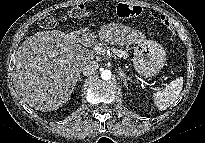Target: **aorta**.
<instances>
[{
    "label": "aorta",
    "mask_w": 205,
    "mask_h": 143,
    "mask_svg": "<svg viewBox=\"0 0 205 143\" xmlns=\"http://www.w3.org/2000/svg\"><path fill=\"white\" fill-rule=\"evenodd\" d=\"M111 76H112V74H111V71H110V70H103V71L101 72V78H102L103 80H110V79H111Z\"/></svg>",
    "instance_id": "762f6f07"
}]
</instances>
